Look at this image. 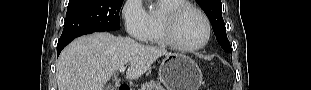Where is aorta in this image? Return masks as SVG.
I'll return each instance as SVG.
<instances>
[{"label":"aorta","instance_id":"762f6f07","mask_svg":"<svg viewBox=\"0 0 311 90\" xmlns=\"http://www.w3.org/2000/svg\"><path fill=\"white\" fill-rule=\"evenodd\" d=\"M149 10H150V12H153L155 10V5H150Z\"/></svg>","mask_w":311,"mask_h":90}]
</instances>
